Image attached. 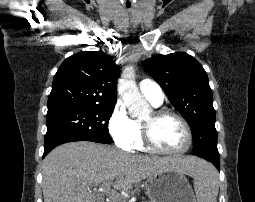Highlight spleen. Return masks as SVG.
I'll use <instances>...</instances> for the list:
<instances>
[{
  "instance_id": "3e777b00",
  "label": "spleen",
  "mask_w": 255,
  "mask_h": 202,
  "mask_svg": "<svg viewBox=\"0 0 255 202\" xmlns=\"http://www.w3.org/2000/svg\"><path fill=\"white\" fill-rule=\"evenodd\" d=\"M193 177L197 201L217 202L219 179L214 167L204 161L197 165Z\"/></svg>"
}]
</instances>
